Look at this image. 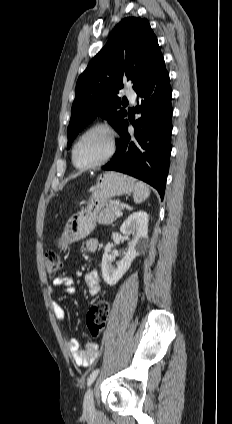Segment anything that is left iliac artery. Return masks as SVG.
I'll return each mask as SVG.
<instances>
[{
  "mask_svg": "<svg viewBox=\"0 0 232 424\" xmlns=\"http://www.w3.org/2000/svg\"><path fill=\"white\" fill-rule=\"evenodd\" d=\"M98 373H99V369H95L91 374H90V376L88 377V379H87V386H90L92 383H93V381L96 379V377H97V375H98Z\"/></svg>",
  "mask_w": 232,
  "mask_h": 424,
  "instance_id": "1",
  "label": "left iliac artery"
}]
</instances>
